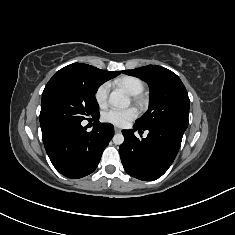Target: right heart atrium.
Instances as JSON below:
<instances>
[{
  "mask_svg": "<svg viewBox=\"0 0 235 235\" xmlns=\"http://www.w3.org/2000/svg\"><path fill=\"white\" fill-rule=\"evenodd\" d=\"M110 88V83L104 82L96 89L94 97L100 107H104L107 104Z\"/></svg>",
  "mask_w": 235,
  "mask_h": 235,
  "instance_id": "right-heart-atrium-1",
  "label": "right heart atrium"
}]
</instances>
